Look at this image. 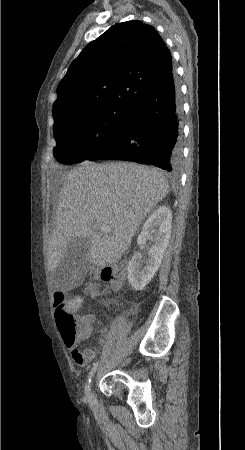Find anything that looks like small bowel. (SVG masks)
Instances as JSON below:
<instances>
[{
    "instance_id": "1",
    "label": "small bowel",
    "mask_w": 245,
    "mask_h": 450,
    "mask_svg": "<svg viewBox=\"0 0 245 450\" xmlns=\"http://www.w3.org/2000/svg\"><path fill=\"white\" fill-rule=\"evenodd\" d=\"M79 320L86 321L92 324L95 321V315L90 313L78 318ZM105 343V329H100L97 334V339L94 347L90 348H80V343L74 342L73 344H67L66 346L69 350L70 356L73 361L80 365H86L90 360H92L96 352L104 345Z\"/></svg>"
}]
</instances>
